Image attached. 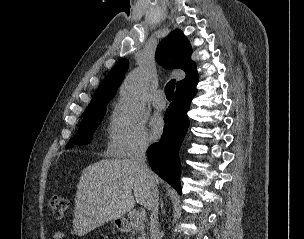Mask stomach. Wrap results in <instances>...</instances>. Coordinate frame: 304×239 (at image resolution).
<instances>
[{
  "instance_id": "0dacf381",
  "label": "stomach",
  "mask_w": 304,
  "mask_h": 239,
  "mask_svg": "<svg viewBox=\"0 0 304 239\" xmlns=\"http://www.w3.org/2000/svg\"><path fill=\"white\" fill-rule=\"evenodd\" d=\"M117 220H119V219H117ZM116 222H117L116 220H114V221L112 222L114 227H118V225H117Z\"/></svg>"
}]
</instances>
